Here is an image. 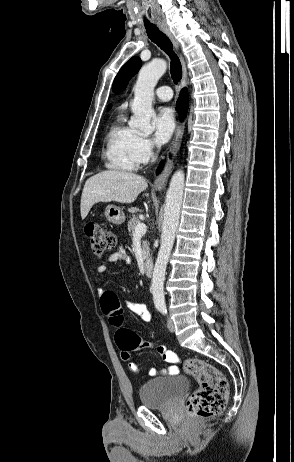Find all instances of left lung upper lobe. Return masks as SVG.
<instances>
[{"instance_id": "5c2ea615", "label": "left lung upper lobe", "mask_w": 294, "mask_h": 462, "mask_svg": "<svg viewBox=\"0 0 294 462\" xmlns=\"http://www.w3.org/2000/svg\"><path fill=\"white\" fill-rule=\"evenodd\" d=\"M142 62L139 57H132L118 72L114 79L112 89L114 92H120L125 89L130 78L140 69Z\"/></svg>"}]
</instances>
